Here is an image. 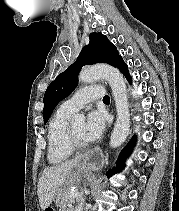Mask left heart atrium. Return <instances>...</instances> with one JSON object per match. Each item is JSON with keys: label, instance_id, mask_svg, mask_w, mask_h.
<instances>
[{"label": "left heart atrium", "instance_id": "1", "mask_svg": "<svg viewBox=\"0 0 179 211\" xmlns=\"http://www.w3.org/2000/svg\"><path fill=\"white\" fill-rule=\"evenodd\" d=\"M105 126L106 117L103 112L97 110L89 112L84 128L86 141L93 142L98 140L102 136Z\"/></svg>", "mask_w": 179, "mask_h": 211}]
</instances>
